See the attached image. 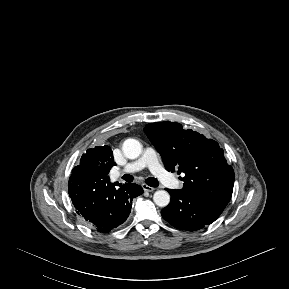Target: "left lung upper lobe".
Segmentation results:
<instances>
[{
    "label": "left lung upper lobe",
    "instance_id": "5c2ea615",
    "mask_svg": "<svg viewBox=\"0 0 289 289\" xmlns=\"http://www.w3.org/2000/svg\"><path fill=\"white\" fill-rule=\"evenodd\" d=\"M144 131L161 154L166 170L185 174L182 191L227 206L235 175L217 142L175 122L151 123Z\"/></svg>",
    "mask_w": 289,
    "mask_h": 289
}]
</instances>
